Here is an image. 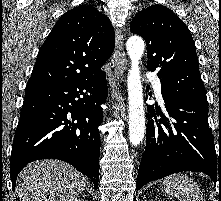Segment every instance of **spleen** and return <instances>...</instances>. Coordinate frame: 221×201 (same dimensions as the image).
<instances>
[{
  "label": "spleen",
  "mask_w": 221,
  "mask_h": 201,
  "mask_svg": "<svg viewBox=\"0 0 221 201\" xmlns=\"http://www.w3.org/2000/svg\"><path fill=\"white\" fill-rule=\"evenodd\" d=\"M164 189L180 201H203L198 185L183 173L173 174L164 180Z\"/></svg>",
  "instance_id": "3e777b00"
}]
</instances>
